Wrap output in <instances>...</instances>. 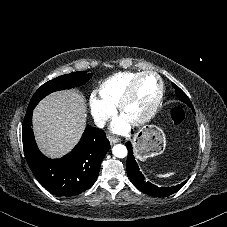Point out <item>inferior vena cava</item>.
I'll use <instances>...</instances> for the list:
<instances>
[{
  "instance_id": "inferior-vena-cava-1",
  "label": "inferior vena cava",
  "mask_w": 227,
  "mask_h": 227,
  "mask_svg": "<svg viewBox=\"0 0 227 227\" xmlns=\"http://www.w3.org/2000/svg\"><path fill=\"white\" fill-rule=\"evenodd\" d=\"M107 118L105 117H95L94 118V123L97 127L99 128H103L106 124Z\"/></svg>"
}]
</instances>
